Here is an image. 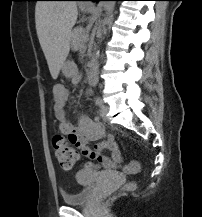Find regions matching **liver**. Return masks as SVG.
Here are the masks:
<instances>
[{
  "instance_id": "obj_1",
  "label": "liver",
  "mask_w": 202,
  "mask_h": 217,
  "mask_svg": "<svg viewBox=\"0 0 202 217\" xmlns=\"http://www.w3.org/2000/svg\"><path fill=\"white\" fill-rule=\"evenodd\" d=\"M74 1H39L35 7V23L39 43L53 79L69 54L71 30L77 20Z\"/></svg>"
}]
</instances>
